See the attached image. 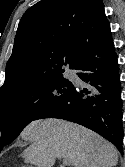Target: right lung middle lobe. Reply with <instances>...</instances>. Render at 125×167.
Masks as SVG:
<instances>
[{
    "label": "right lung middle lobe",
    "instance_id": "right-lung-middle-lobe-1",
    "mask_svg": "<svg viewBox=\"0 0 125 167\" xmlns=\"http://www.w3.org/2000/svg\"><path fill=\"white\" fill-rule=\"evenodd\" d=\"M72 87L60 73L0 99V146L11 143L45 106L63 98Z\"/></svg>",
    "mask_w": 125,
    "mask_h": 167
}]
</instances>
